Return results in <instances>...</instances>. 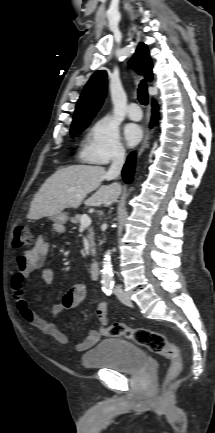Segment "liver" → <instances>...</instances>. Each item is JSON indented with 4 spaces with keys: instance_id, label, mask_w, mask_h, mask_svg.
Returning <instances> with one entry per match:
<instances>
[{
    "instance_id": "obj_1",
    "label": "liver",
    "mask_w": 215,
    "mask_h": 433,
    "mask_svg": "<svg viewBox=\"0 0 215 433\" xmlns=\"http://www.w3.org/2000/svg\"><path fill=\"white\" fill-rule=\"evenodd\" d=\"M106 170L101 166L71 165L58 169L52 174L35 194L28 214L29 219L38 220L52 217L65 208H77L87 194L96 190L85 204L88 206H109L116 202L121 194L117 183L102 185Z\"/></svg>"
}]
</instances>
